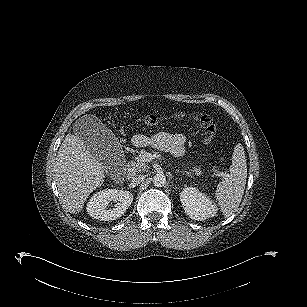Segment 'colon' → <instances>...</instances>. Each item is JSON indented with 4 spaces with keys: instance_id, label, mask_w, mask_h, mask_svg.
<instances>
[{
    "instance_id": "obj_1",
    "label": "colon",
    "mask_w": 307,
    "mask_h": 307,
    "mask_svg": "<svg viewBox=\"0 0 307 307\" xmlns=\"http://www.w3.org/2000/svg\"><path fill=\"white\" fill-rule=\"evenodd\" d=\"M152 122L154 123L156 121V119L152 116ZM201 124L203 126V128L206 131V134L208 136H212L215 132V124L213 123V121L206 115L202 116L201 118Z\"/></svg>"
}]
</instances>
